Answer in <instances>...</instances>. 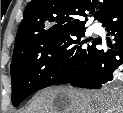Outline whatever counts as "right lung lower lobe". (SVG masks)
Instances as JSON below:
<instances>
[{
    "label": "right lung lower lobe",
    "mask_w": 123,
    "mask_h": 113,
    "mask_svg": "<svg viewBox=\"0 0 123 113\" xmlns=\"http://www.w3.org/2000/svg\"><path fill=\"white\" fill-rule=\"evenodd\" d=\"M100 22L115 37L114 47L107 50L97 46L81 74L70 82L73 86L99 89L112 80L114 71L123 68V0L111 8Z\"/></svg>",
    "instance_id": "right-lung-lower-lobe-1"
}]
</instances>
